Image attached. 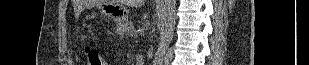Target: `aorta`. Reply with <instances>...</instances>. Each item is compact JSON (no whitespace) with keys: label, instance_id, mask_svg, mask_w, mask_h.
Instances as JSON below:
<instances>
[{"label":"aorta","instance_id":"obj_1","mask_svg":"<svg viewBox=\"0 0 309 65\" xmlns=\"http://www.w3.org/2000/svg\"><path fill=\"white\" fill-rule=\"evenodd\" d=\"M157 20L160 39L152 63L153 65H162L174 34L176 23V0H161Z\"/></svg>","mask_w":309,"mask_h":65}]
</instances>
